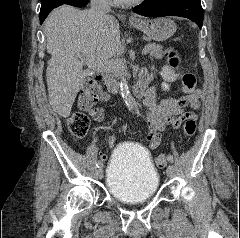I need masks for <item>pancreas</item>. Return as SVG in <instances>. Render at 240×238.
Returning a JSON list of instances; mask_svg holds the SVG:
<instances>
[{
	"mask_svg": "<svg viewBox=\"0 0 240 238\" xmlns=\"http://www.w3.org/2000/svg\"><path fill=\"white\" fill-rule=\"evenodd\" d=\"M151 46V50L149 51L150 57H153L155 59H160L163 57V55L166 53V51L163 50V47L161 45H157L155 43L148 44ZM118 63L116 66L109 70L110 73H112L115 77H119L120 74H122L125 71V63L122 59H116Z\"/></svg>",
	"mask_w": 240,
	"mask_h": 238,
	"instance_id": "obj_1",
	"label": "pancreas"
}]
</instances>
